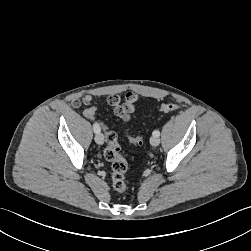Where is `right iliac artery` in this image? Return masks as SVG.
Wrapping results in <instances>:
<instances>
[{
    "instance_id": "82829eb1",
    "label": "right iliac artery",
    "mask_w": 251,
    "mask_h": 251,
    "mask_svg": "<svg viewBox=\"0 0 251 251\" xmlns=\"http://www.w3.org/2000/svg\"><path fill=\"white\" fill-rule=\"evenodd\" d=\"M93 130L95 133H99L100 132V127L97 123H94L93 124Z\"/></svg>"
}]
</instances>
